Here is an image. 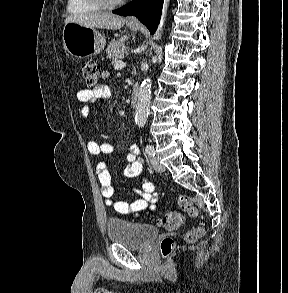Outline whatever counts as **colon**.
<instances>
[{
    "mask_svg": "<svg viewBox=\"0 0 288 293\" xmlns=\"http://www.w3.org/2000/svg\"><path fill=\"white\" fill-rule=\"evenodd\" d=\"M82 74L89 88L97 85L100 76V67L93 61H86L82 65ZM178 203L181 209L191 216L197 215V209L192 199L186 195H180ZM183 223V215L178 211H169L161 219L160 224L167 229H176ZM203 235L201 228L190 230L185 235V240L189 243L197 241ZM175 243L172 238L165 237L161 241V252L164 256H168L174 250Z\"/></svg>",
    "mask_w": 288,
    "mask_h": 293,
    "instance_id": "obj_1",
    "label": "colon"
}]
</instances>
